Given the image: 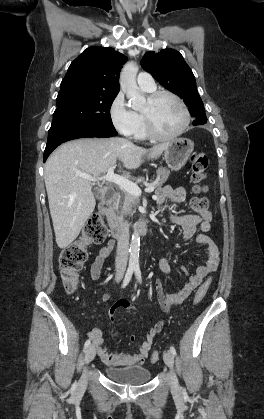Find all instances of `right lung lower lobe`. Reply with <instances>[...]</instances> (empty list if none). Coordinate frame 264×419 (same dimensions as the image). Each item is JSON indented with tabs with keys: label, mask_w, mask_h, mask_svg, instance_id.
Listing matches in <instances>:
<instances>
[{
	"label": "right lung lower lobe",
	"mask_w": 264,
	"mask_h": 419,
	"mask_svg": "<svg viewBox=\"0 0 264 419\" xmlns=\"http://www.w3.org/2000/svg\"><path fill=\"white\" fill-rule=\"evenodd\" d=\"M117 135L115 130L98 128V127H81L76 128L70 131H67L60 135L59 137L50 140L46 144L44 152V162L50 155V153L61 143H64L69 140L84 138V137H99V138H108Z\"/></svg>",
	"instance_id": "right-lung-lower-lobe-1"
}]
</instances>
